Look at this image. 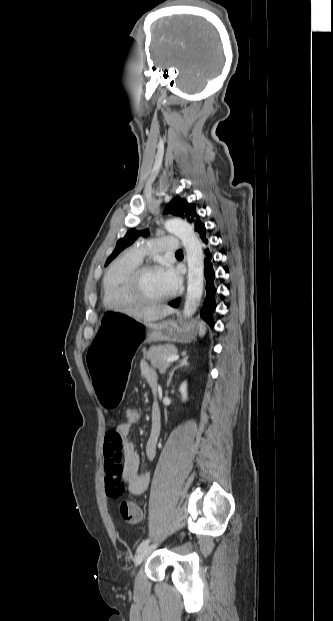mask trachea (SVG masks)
I'll return each mask as SVG.
<instances>
[{"instance_id": "obj_1", "label": "trachea", "mask_w": 333, "mask_h": 621, "mask_svg": "<svg viewBox=\"0 0 333 621\" xmlns=\"http://www.w3.org/2000/svg\"><path fill=\"white\" fill-rule=\"evenodd\" d=\"M181 253H183V251H182V250H178V251L176 252V254H181Z\"/></svg>"}]
</instances>
